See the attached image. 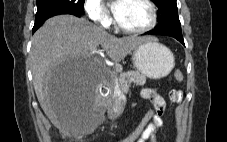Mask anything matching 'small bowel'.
<instances>
[{
  "label": "small bowel",
  "instance_id": "obj_1",
  "mask_svg": "<svg viewBox=\"0 0 227 142\" xmlns=\"http://www.w3.org/2000/svg\"><path fill=\"white\" fill-rule=\"evenodd\" d=\"M141 96L153 103L157 116L151 125L147 128V130L143 133L142 137L138 140V142H157L156 141V133L162 126V116L164 114L166 103L160 93L153 88H145L141 91ZM169 99L174 103H180L183 98V93L180 90H171L169 92Z\"/></svg>",
  "mask_w": 227,
  "mask_h": 142
}]
</instances>
